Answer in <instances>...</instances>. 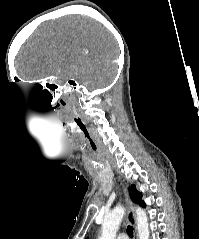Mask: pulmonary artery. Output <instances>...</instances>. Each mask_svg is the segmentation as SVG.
Returning a JSON list of instances; mask_svg holds the SVG:
<instances>
[{"instance_id": "e3ab8cb5", "label": "pulmonary artery", "mask_w": 199, "mask_h": 239, "mask_svg": "<svg viewBox=\"0 0 199 239\" xmlns=\"http://www.w3.org/2000/svg\"><path fill=\"white\" fill-rule=\"evenodd\" d=\"M117 239H128V237L125 234H119Z\"/></svg>"}]
</instances>
